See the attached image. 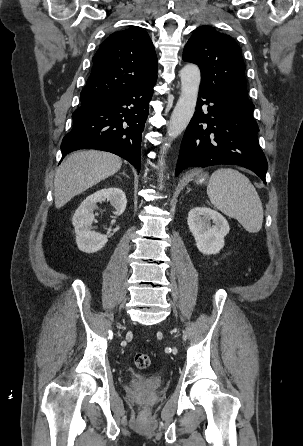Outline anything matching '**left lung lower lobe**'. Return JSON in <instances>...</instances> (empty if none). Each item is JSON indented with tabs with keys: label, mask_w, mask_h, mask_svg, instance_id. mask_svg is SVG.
<instances>
[{
	"label": "left lung lower lobe",
	"mask_w": 303,
	"mask_h": 446,
	"mask_svg": "<svg viewBox=\"0 0 303 446\" xmlns=\"http://www.w3.org/2000/svg\"><path fill=\"white\" fill-rule=\"evenodd\" d=\"M252 113L226 93L200 86L175 176L188 167L235 164L252 170L266 184L268 164L257 140L259 128Z\"/></svg>",
	"instance_id": "1"
}]
</instances>
